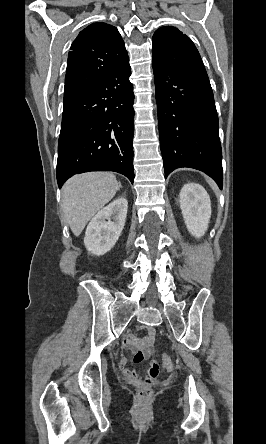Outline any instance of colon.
<instances>
[{"instance_id": "obj_1", "label": "colon", "mask_w": 266, "mask_h": 444, "mask_svg": "<svg viewBox=\"0 0 266 444\" xmlns=\"http://www.w3.org/2000/svg\"><path fill=\"white\" fill-rule=\"evenodd\" d=\"M161 359L164 368L167 370L172 369V361L168 355H162ZM137 396L141 401H147L152 396V389L148 386H141L137 390Z\"/></svg>"}]
</instances>
